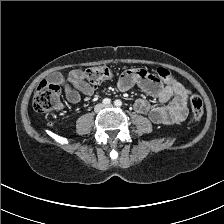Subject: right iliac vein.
<instances>
[{
	"mask_svg": "<svg viewBox=\"0 0 224 224\" xmlns=\"http://www.w3.org/2000/svg\"><path fill=\"white\" fill-rule=\"evenodd\" d=\"M103 104H97L96 106H95V108H94V111L96 112V113H98V112H100L102 109H103Z\"/></svg>",
	"mask_w": 224,
	"mask_h": 224,
	"instance_id": "1",
	"label": "right iliac vein"
}]
</instances>
